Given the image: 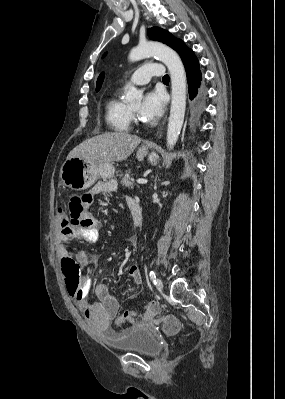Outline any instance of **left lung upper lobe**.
I'll use <instances>...</instances> for the list:
<instances>
[{"instance_id":"left-lung-upper-lobe-1","label":"left lung upper lobe","mask_w":285,"mask_h":399,"mask_svg":"<svg viewBox=\"0 0 285 399\" xmlns=\"http://www.w3.org/2000/svg\"><path fill=\"white\" fill-rule=\"evenodd\" d=\"M148 36L150 39L154 41H159L164 44H167L171 48H173L180 55L183 51L189 49L185 43L175 38L170 32L161 29L159 27H152L148 29ZM105 54L103 55V57Z\"/></svg>"}]
</instances>
